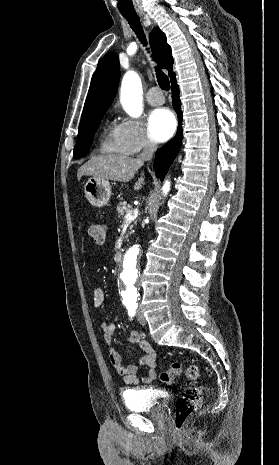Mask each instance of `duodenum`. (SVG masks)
I'll return each instance as SVG.
<instances>
[{
    "mask_svg": "<svg viewBox=\"0 0 279 465\" xmlns=\"http://www.w3.org/2000/svg\"><path fill=\"white\" fill-rule=\"evenodd\" d=\"M122 258H123V252L122 251H118L114 256V260L117 263L121 262Z\"/></svg>",
    "mask_w": 279,
    "mask_h": 465,
    "instance_id": "obj_1",
    "label": "duodenum"
}]
</instances>
